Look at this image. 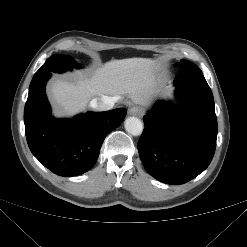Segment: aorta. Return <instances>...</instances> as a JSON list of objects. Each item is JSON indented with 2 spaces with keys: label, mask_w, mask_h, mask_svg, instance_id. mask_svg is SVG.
<instances>
[{
  "label": "aorta",
  "mask_w": 247,
  "mask_h": 247,
  "mask_svg": "<svg viewBox=\"0 0 247 247\" xmlns=\"http://www.w3.org/2000/svg\"><path fill=\"white\" fill-rule=\"evenodd\" d=\"M124 126L125 130L133 136H139L142 134L143 123L137 117H128L125 120Z\"/></svg>",
  "instance_id": "obj_1"
}]
</instances>
